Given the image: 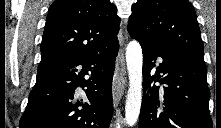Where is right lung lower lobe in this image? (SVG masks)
<instances>
[{
    "label": "right lung lower lobe",
    "instance_id": "1",
    "mask_svg": "<svg viewBox=\"0 0 221 128\" xmlns=\"http://www.w3.org/2000/svg\"><path fill=\"white\" fill-rule=\"evenodd\" d=\"M119 42L88 55L65 57L37 71L20 128H108ZM89 79H85V76ZM84 90L80 98L77 88Z\"/></svg>",
    "mask_w": 221,
    "mask_h": 128
}]
</instances>
